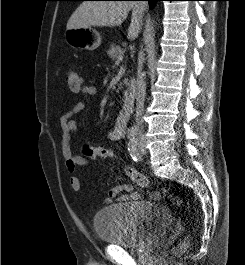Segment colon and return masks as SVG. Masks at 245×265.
<instances>
[{"mask_svg":"<svg viewBox=\"0 0 245 265\" xmlns=\"http://www.w3.org/2000/svg\"><path fill=\"white\" fill-rule=\"evenodd\" d=\"M66 81L69 89L74 93H79L81 86H82V80L79 74L74 70H69L66 74ZM83 154L86 157H89L91 159H100V160H112L115 162H119L116 154L113 150L102 147V146H93V145H85L83 148ZM122 168L125 172V174L136 184L142 187H149L150 182L146 176L139 173L138 171L134 170L133 168L122 165ZM161 193L166 196L175 206L182 207L183 201L182 199L177 196L170 194L167 188H161ZM189 240L188 238L181 241L177 246L173 248V252H181L185 250L188 247Z\"/></svg>","mask_w":245,"mask_h":265,"instance_id":"5ec220e1","label":"colon"}]
</instances>
